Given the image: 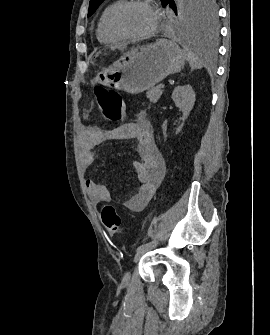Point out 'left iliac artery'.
<instances>
[{"label":"left iliac artery","instance_id":"1","mask_svg":"<svg viewBox=\"0 0 270 335\" xmlns=\"http://www.w3.org/2000/svg\"><path fill=\"white\" fill-rule=\"evenodd\" d=\"M156 244H157V241H156V240L151 241V242H148V243H145V244H142V245H140V246L137 248V251L144 250V249L148 250V249H150V248L156 246Z\"/></svg>","mask_w":270,"mask_h":335}]
</instances>
